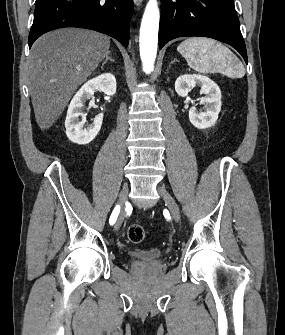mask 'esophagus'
Masks as SVG:
<instances>
[{
    "label": "esophagus",
    "instance_id": "obj_1",
    "mask_svg": "<svg viewBox=\"0 0 285 335\" xmlns=\"http://www.w3.org/2000/svg\"><path fill=\"white\" fill-rule=\"evenodd\" d=\"M133 2L136 6H140L142 4L143 0H133Z\"/></svg>",
    "mask_w": 285,
    "mask_h": 335
}]
</instances>
